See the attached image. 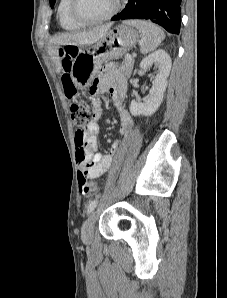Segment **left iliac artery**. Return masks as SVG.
Instances as JSON below:
<instances>
[{
  "label": "left iliac artery",
  "instance_id": "1",
  "mask_svg": "<svg viewBox=\"0 0 227 298\" xmlns=\"http://www.w3.org/2000/svg\"><path fill=\"white\" fill-rule=\"evenodd\" d=\"M97 202H98V199L96 198L89 203L88 208H87L88 214L91 213L95 209Z\"/></svg>",
  "mask_w": 227,
  "mask_h": 298
}]
</instances>
